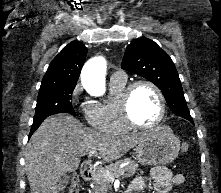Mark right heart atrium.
I'll use <instances>...</instances> for the list:
<instances>
[{
  "label": "right heart atrium",
  "mask_w": 221,
  "mask_h": 193,
  "mask_svg": "<svg viewBox=\"0 0 221 193\" xmlns=\"http://www.w3.org/2000/svg\"><path fill=\"white\" fill-rule=\"evenodd\" d=\"M80 95H81V87L79 85H76L71 94H70V98L72 102H77L80 99Z\"/></svg>",
  "instance_id": "d8ad5b80"
}]
</instances>
